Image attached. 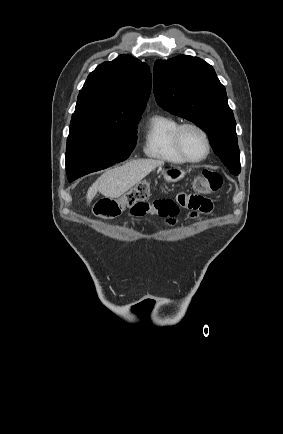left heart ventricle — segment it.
<instances>
[{
  "instance_id": "1",
  "label": "left heart ventricle",
  "mask_w": 283,
  "mask_h": 434,
  "mask_svg": "<svg viewBox=\"0 0 283 434\" xmlns=\"http://www.w3.org/2000/svg\"><path fill=\"white\" fill-rule=\"evenodd\" d=\"M185 152L192 158H199L206 151V144L202 135L193 128H186L181 136Z\"/></svg>"
}]
</instances>
